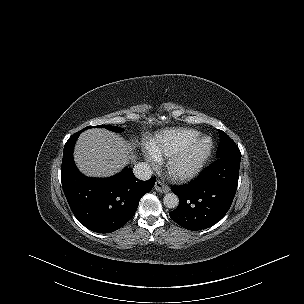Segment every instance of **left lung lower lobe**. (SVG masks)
Segmentation results:
<instances>
[{
    "instance_id": "0a47b994",
    "label": "left lung lower lobe",
    "mask_w": 304,
    "mask_h": 304,
    "mask_svg": "<svg viewBox=\"0 0 304 304\" xmlns=\"http://www.w3.org/2000/svg\"><path fill=\"white\" fill-rule=\"evenodd\" d=\"M240 154L218 158L190 183L172 187L178 207L169 213L180 226L201 230L220 221L234 199L239 179Z\"/></svg>"
}]
</instances>
